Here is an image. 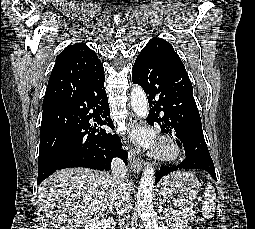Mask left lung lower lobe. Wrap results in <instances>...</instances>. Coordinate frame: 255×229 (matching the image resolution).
<instances>
[{"label": "left lung lower lobe", "mask_w": 255, "mask_h": 229, "mask_svg": "<svg viewBox=\"0 0 255 229\" xmlns=\"http://www.w3.org/2000/svg\"><path fill=\"white\" fill-rule=\"evenodd\" d=\"M132 81L148 95L149 124L154 126L157 122L185 149V160L179 165L163 166L156 174L155 182L177 169H202L217 180L193 97V87L184 65L172 58L136 59ZM161 111L164 112L163 117L159 116Z\"/></svg>", "instance_id": "1"}]
</instances>
